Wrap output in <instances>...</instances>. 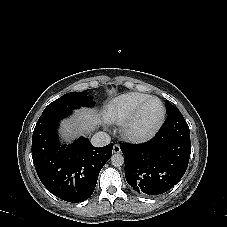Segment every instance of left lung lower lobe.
<instances>
[{"label": "left lung lower lobe", "instance_id": "1", "mask_svg": "<svg viewBox=\"0 0 227 227\" xmlns=\"http://www.w3.org/2000/svg\"><path fill=\"white\" fill-rule=\"evenodd\" d=\"M127 183L143 196L173 188L188 167L190 130L178 108L167 115L156 135L143 144L121 143Z\"/></svg>", "mask_w": 227, "mask_h": 227}]
</instances>
